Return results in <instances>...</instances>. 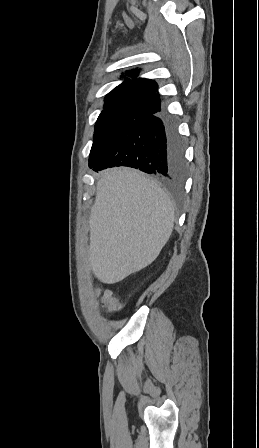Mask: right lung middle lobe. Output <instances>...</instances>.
Listing matches in <instances>:
<instances>
[{
	"label": "right lung middle lobe",
	"mask_w": 259,
	"mask_h": 448,
	"mask_svg": "<svg viewBox=\"0 0 259 448\" xmlns=\"http://www.w3.org/2000/svg\"><path fill=\"white\" fill-rule=\"evenodd\" d=\"M142 117L138 113H101L95 124L94 140L89 156L91 168L109 144L134 120Z\"/></svg>",
	"instance_id": "dd1d6c3e"
}]
</instances>
